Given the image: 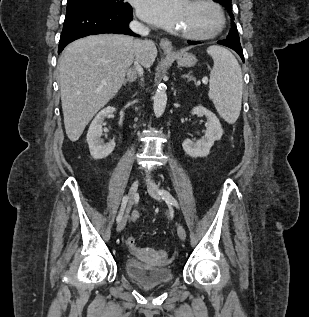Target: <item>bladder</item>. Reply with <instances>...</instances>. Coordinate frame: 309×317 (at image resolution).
<instances>
[{
  "label": "bladder",
  "mask_w": 309,
  "mask_h": 317,
  "mask_svg": "<svg viewBox=\"0 0 309 317\" xmlns=\"http://www.w3.org/2000/svg\"><path fill=\"white\" fill-rule=\"evenodd\" d=\"M126 275L143 288L152 289L172 282L174 274L167 265H152L128 257L124 261Z\"/></svg>",
  "instance_id": "obj_1"
}]
</instances>
